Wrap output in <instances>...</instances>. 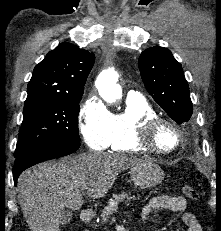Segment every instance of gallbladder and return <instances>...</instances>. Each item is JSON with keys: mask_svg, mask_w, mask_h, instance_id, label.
<instances>
[{"mask_svg": "<svg viewBox=\"0 0 221 231\" xmlns=\"http://www.w3.org/2000/svg\"><path fill=\"white\" fill-rule=\"evenodd\" d=\"M72 219V212L69 210H64L60 219V224H68Z\"/></svg>", "mask_w": 221, "mask_h": 231, "instance_id": "bac80fb5", "label": "gallbladder"}]
</instances>
